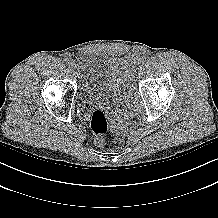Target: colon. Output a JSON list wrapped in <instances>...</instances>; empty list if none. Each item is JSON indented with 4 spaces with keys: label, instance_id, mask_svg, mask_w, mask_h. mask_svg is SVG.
<instances>
[{
    "label": "colon",
    "instance_id": "1",
    "mask_svg": "<svg viewBox=\"0 0 218 218\" xmlns=\"http://www.w3.org/2000/svg\"><path fill=\"white\" fill-rule=\"evenodd\" d=\"M90 124L95 142L99 145L106 143L109 137V121L106 112L102 109L94 110Z\"/></svg>",
    "mask_w": 218,
    "mask_h": 218
}]
</instances>
